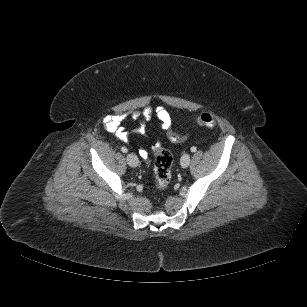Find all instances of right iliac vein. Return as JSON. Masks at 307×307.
I'll use <instances>...</instances> for the list:
<instances>
[{
    "mask_svg": "<svg viewBox=\"0 0 307 307\" xmlns=\"http://www.w3.org/2000/svg\"><path fill=\"white\" fill-rule=\"evenodd\" d=\"M126 159H127V163L131 167H137L138 164H139V160H138L137 156L133 153H129L127 155Z\"/></svg>",
    "mask_w": 307,
    "mask_h": 307,
    "instance_id": "obj_1",
    "label": "right iliac vein"
}]
</instances>
